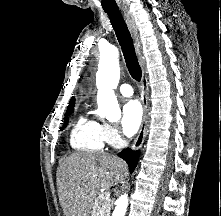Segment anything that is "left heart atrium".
<instances>
[{
	"label": "left heart atrium",
	"instance_id": "obj_1",
	"mask_svg": "<svg viewBox=\"0 0 221 216\" xmlns=\"http://www.w3.org/2000/svg\"><path fill=\"white\" fill-rule=\"evenodd\" d=\"M142 116V108L138 101L130 100L123 106L121 127L126 136H132L138 131Z\"/></svg>",
	"mask_w": 221,
	"mask_h": 216
}]
</instances>
